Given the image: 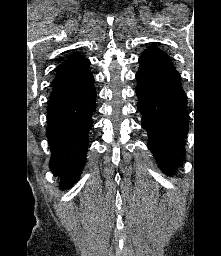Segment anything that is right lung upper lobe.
Masks as SVG:
<instances>
[{
    "mask_svg": "<svg viewBox=\"0 0 221 256\" xmlns=\"http://www.w3.org/2000/svg\"><path fill=\"white\" fill-rule=\"evenodd\" d=\"M90 61L72 54L59 67L50 103L64 102L94 89V78L89 71Z\"/></svg>",
    "mask_w": 221,
    "mask_h": 256,
    "instance_id": "1",
    "label": "right lung upper lobe"
}]
</instances>
